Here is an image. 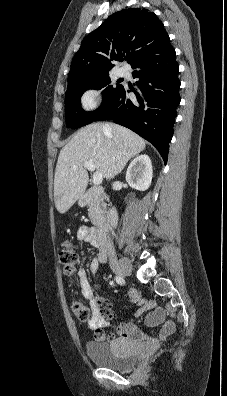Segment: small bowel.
<instances>
[{"mask_svg": "<svg viewBox=\"0 0 227 396\" xmlns=\"http://www.w3.org/2000/svg\"><path fill=\"white\" fill-rule=\"evenodd\" d=\"M94 231L93 228L82 226L79 228L77 236L80 240L97 247L93 239ZM105 261L106 254L104 251H100L97 257L91 260L89 272L95 275L99 265ZM78 278L82 296L85 299L92 300L94 312L88 322V327L94 331V337L97 341H111L113 343L131 342L144 349L151 350L158 347L161 342L166 341L174 332L175 324L172 321H166L160 333L156 337H150L136 327L133 321L130 320L119 324L114 335L107 336L104 330L110 325V319L113 317L111 306L104 298L99 297L94 299L93 287L86 270H79ZM129 300L131 303L139 305V309L136 311L135 316H139L144 311H149L146 317V323L148 325L155 326L164 321V311L161 308H157L154 301L141 299L140 295L135 290L129 293Z\"/></svg>", "mask_w": 227, "mask_h": 396, "instance_id": "1", "label": "small bowel"}]
</instances>
